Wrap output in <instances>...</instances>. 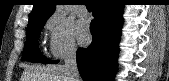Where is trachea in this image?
I'll list each match as a JSON object with an SVG mask.
<instances>
[{
	"label": "trachea",
	"instance_id": "3493384b",
	"mask_svg": "<svg viewBox=\"0 0 169 81\" xmlns=\"http://www.w3.org/2000/svg\"><path fill=\"white\" fill-rule=\"evenodd\" d=\"M84 3H85L84 5H86L87 9H92L93 8V3L91 1L88 0V1H86Z\"/></svg>",
	"mask_w": 169,
	"mask_h": 81
}]
</instances>
